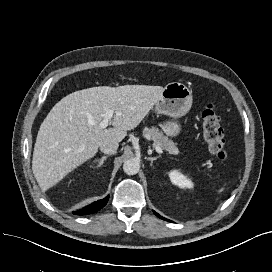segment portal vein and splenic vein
Listing matches in <instances>:
<instances>
[{
    "label": "portal vein and splenic vein",
    "mask_w": 272,
    "mask_h": 272,
    "mask_svg": "<svg viewBox=\"0 0 272 272\" xmlns=\"http://www.w3.org/2000/svg\"><path fill=\"white\" fill-rule=\"evenodd\" d=\"M113 113H114V111L112 110V109H108V110H106V112L104 113V118H103V120L100 122V124H99V127L101 128V129H105L108 125H109V123H110V121H111V119H112V117H113ZM155 150H156V152H158V153H160V154H162L163 153V150H162V148L161 147H159V146H155Z\"/></svg>",
    "instance_id": "1"
}]
</instances>
